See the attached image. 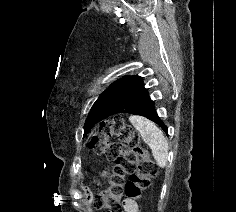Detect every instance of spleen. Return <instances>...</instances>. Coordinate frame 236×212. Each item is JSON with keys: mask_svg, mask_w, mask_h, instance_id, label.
<instances>
[{"mask_svg": "<svg viewBox=\"0 0 236 212\" xmlns=\"http://www.w3.org/2000/svg\"><path fill=\"white\" fill-rule=\"evenodd\" d=\"M129 121L152 150L157 164L164 168L167 163L168 143L163 132L152 121L142 116L132 115L129 117Z\"/></svg>", "mask_w": 236, "mask_h": 212, "instance_id": "spleen-1", "label": "spleen"}]
</instances>
